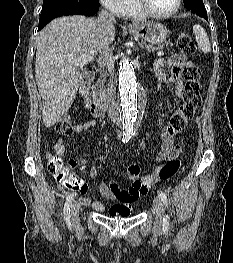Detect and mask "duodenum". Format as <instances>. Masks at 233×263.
<instances>
[{"label": "duodenum", "mask_w": 233, "mask_h": 263, "mask_svg": "<svg viewBox=\"0 0 233 263\" xmlns=\"http://www.w3.org/2000/svg\"><path fill=\"white\" fill-rule=\"evenodd\" d=\"M93 79L94 72L92 71L86 72L83 75L79 89V97L85 109L91 115L101 117L105 114L109 103H112V98H110L109 95H101L106 94V82H101L100 85L91 89Z\"/></svg>", "instance_id": "1"}]
</instances>
